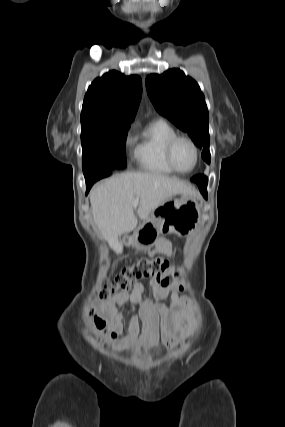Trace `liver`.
Instances as JSON below:
<instances>
[{
  "label": "liver",
  "instance_id": "6515ba94",
  "mask_svg": "<svg viewBox=\"0 0 285 427\" xmlns=\"http://www.w3.org/2000/svg\"><path fill=\"white\" fill-rule=\"evenodd\" d=\"M177 194L195 196V190L176 178L151 172H127L96 185L90 192L94 222L109 246L118 251V238L134 230L138 219L133 202L139 197L141 220Z\"/></svg>",
  "mask_w": 285,
  "mask_h": 427
}]
</instances>
